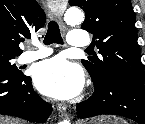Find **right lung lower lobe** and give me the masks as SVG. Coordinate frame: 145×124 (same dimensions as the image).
<instances>
[{
	"instance_id": "obj_1",
	"label": "right lung lower lobe",
	"mask_w": 145,
	"mask_h": 124,
	"mask_svg": "<svg viewBox=\"0 0 145 124\" xmlns=\"http://www.w3.org/2000/svg\"><path fill=\"white\" fill-rule=\"evenodd\" d=\"M52 106L32 88L31 77L0 68V114L45 122Z\"/></svg>"
}]
</instances>
